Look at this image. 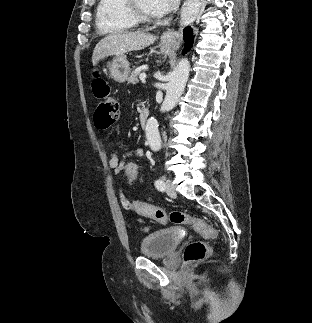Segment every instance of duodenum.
<instances>
[{
	"label": "duodenum",
	"instance_id": "410a0bca",
	"mask_svg": "<svg viewBox=\"0 0 312 323\" xmlns=\"http://www.w3.org/2000/svg\"><path fill=\"white\" fill-rule=\"evenodd\" d=\"M148 117H149L148 109H143L139 112L138 121L142 129L146 128Z\"/></svg>",
	"mask_w": 312,
	"mask_h": 323
}]
</instances>
